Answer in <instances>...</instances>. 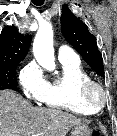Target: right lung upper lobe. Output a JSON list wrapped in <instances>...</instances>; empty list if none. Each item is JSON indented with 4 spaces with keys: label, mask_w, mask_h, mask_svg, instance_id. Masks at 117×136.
Listing matches in <instances>:
<instances>
[{
    "label": "right lung upper lobe",
    "mask_w": 117,
    "mask_h": 136,
    "mask_svg": "<svg viewBox=\"0 0 117 136\" xmlns=\"http://www.w3.org/2000/svg\"><path fill=\"white\" fill-rule=\"evenodd\" d=\"M30 44L31 35H22L14 26H5L0 34V65L19 64Z\"/></svg>",
    "instance_id": "right-lung-upper-lobe-1"
}]
</instances>
